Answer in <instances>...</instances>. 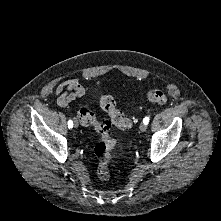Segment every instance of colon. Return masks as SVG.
Returning a JSON list of instances; mask_svg holds the SVG:
<instances>
[{"instance_id":"1","label":"colon","mask_w":221,"mask_h":221,"mask_svg":"<svg viewBox=\"0 0 221 221\" xmlns=\"http://www.w3.org/2000/svg\"><path fill=\"white\" fill-rule=\"evenodd\" d=\"M150 102L164 105L168 101L165 92L161 90H150L147 93ZM100 106L108 114L110 120L98 122L94 114L86 109L80 108L77 112V118L81 124L92 126L101 135V140L95 144L94 153L98 159L97 173L102 180L109 178V167L112 151L115 147V140L110 136L111 125L120 129H129L136 122V116L125 115L117 109L114 99L110 95L100 96Z\"/></svg>"}]
</instances>
